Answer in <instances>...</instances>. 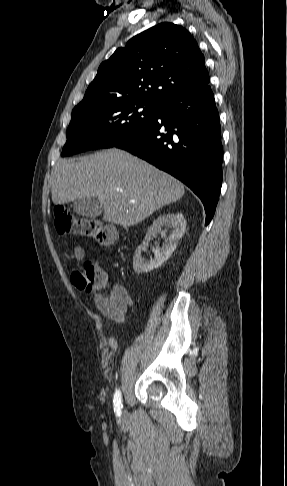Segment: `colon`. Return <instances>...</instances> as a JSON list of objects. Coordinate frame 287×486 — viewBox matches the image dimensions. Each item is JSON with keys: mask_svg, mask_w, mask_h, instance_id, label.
Masks as SVG:
<instances>
[{"mask_svg": "<svg viewBox=\"0 0 287 486\" xmlns=\"http://www.w3.org/2000/svg\"><path fill=\"white\" fill-rule=\"evenodd\" d=\"M55 228L59 234H75L90 237L101 245L113 244L117 239L115 229L96 218L76 217L64 208L55 210ZM73 284L87 293H98L107 285V275L92 262L72 275Z\"/></svg>", "mask_w": 287, "mask_h": 486, "instance_id": "obj_1", "label": "colon"}]
</instances>
